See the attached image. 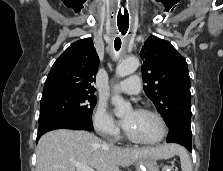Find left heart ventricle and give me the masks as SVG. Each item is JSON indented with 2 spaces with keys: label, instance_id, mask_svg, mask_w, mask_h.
<instances>
[{
  "label": "left heart ventricle",
  "instance_id": "obj_1",
  "mask_svg": "<svg viewBox=\"0 0 223 171\" xmlns=\"http://www.w3.org/2000/svg\"><path fill=\"white\" fill-rule=\"evenodd\" d=\"M124 119H128L127 132L138 140L152 141L160 135L159 122L151 115L130 111Z\"/></svg>",
  "mask_w": 223,
  "mask_h": 171
}]
</instances>
